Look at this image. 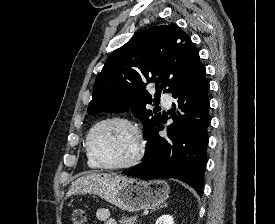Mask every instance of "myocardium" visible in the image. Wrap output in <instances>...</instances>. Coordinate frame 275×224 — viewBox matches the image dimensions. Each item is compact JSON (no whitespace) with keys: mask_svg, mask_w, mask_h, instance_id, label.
Here are the masks:
<instances>
[{"mask_svg":"<svg viewBox=\"0 0 275 224\" xmlns=\"http://www.w3.org/2000/svg\"><path fill=\"white\" fill-rule=\"evenodd\" d=\"M118 122L125 124L130 130L133 132L135 141H136V150L134 155L127 160L126 162L119 163V164H108L103 162L95 153L93 146H92V137L95 131L104 124ZM86 149L90 157L95 161V163L102 168L105 169H112V170H120L126 169L136 165L143 157L144 154V140L142 134L138 128V126L128 118L122 116H108L105 117L98 122H96L91 129L89 130L87 137H86Z\"/></svg>","mask_w":275,"mask_h":224,"instance_id":"myocardium-1","label":"myocardium"}]
</instances>
